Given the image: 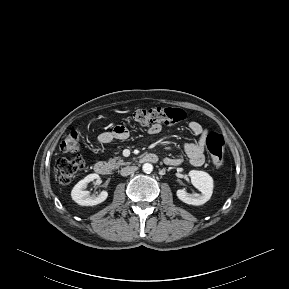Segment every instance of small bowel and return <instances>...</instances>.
I'll return each mask as SVG.
<instances>
[{"mask_svg":"<svg viewBox=\"0 0 289 289\" xmlns=\"http://www.w3.org/2000/svg\"><path fill=\"white\" fill-rule=\"evenodd\" d=\"M189 131L198 136V140L192 143H185L184 152L193 166H202L205 162L206 138L208 130L199 122L191 121L188 125ZM162 126L160 124H151L147 128V133L155 135L160 133ZM131 131L124 126H116L112 131L103 132L98 136V146L107 145L115 140H126L131 136ZM167 165L175 166L181 163L179 157H167L164 159Z\"/></svg>","mask_w":289,"mask_h":289,"instance_id":"obj_1","label":"small bowel"}]
</instances>
